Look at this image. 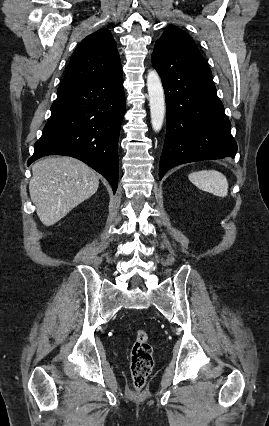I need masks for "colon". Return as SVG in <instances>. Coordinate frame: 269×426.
<instances>
[{
    "mask_svg": "<svg viewBox=\"0 0 269 426\" xmlns=\"http://www.w3.org/2000/svg\"><path fill=\"white\" fill-rule=\"evenodd\" d=\"M152 346L147 332L140 328L135 332L131 348V375L135 390H141L153 367Z\"/></svg>",
    "mask_w": 269,
    "mask_h": 426,
    "instance_id": "colon-1",
    "label": "colon"
}]
</instances>
